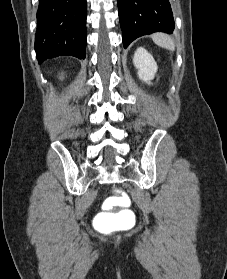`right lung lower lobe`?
<instances>
[{
    "mask_svg": "<svg viewBox=\"0 0 227 279\" xmlns=\"http://www.w3.org/2000/svg\"><path fill=\"white\" fill-rule=\"evenodd\" d=\"M86 0H39L35 51L39 63L60 55L85 58Z\"/></svg>",
    "mask_w": 227,
    "mask_h": 279,
    "instance_id": "obj_1",
    "label": "right lung lower lobe"
}]
</instances>
